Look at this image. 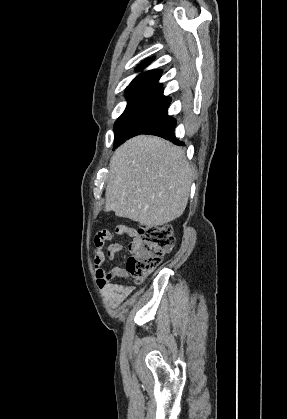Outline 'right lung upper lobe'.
Here are the masks:
<instances>
[{"instance_id": "1", "label": "right lung upper lobe", "mask_w": 287, "mask_h": 419, "mask_svg": "<svg viewBox=\"0 0 287 419\" xmlns=\"http://www.w3.org/2000/svg\"><path fill=\"white\" fill-rule=\"evenodd\" d=\"M153 59L149 58L145 60L137 69L144 68ZM161 73V70L143 72L131 82L125 93L128 99L126 109L169 106L171 98L163 95V88L158 83Z\"/></svg>"}]
</instances>
